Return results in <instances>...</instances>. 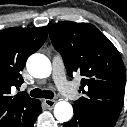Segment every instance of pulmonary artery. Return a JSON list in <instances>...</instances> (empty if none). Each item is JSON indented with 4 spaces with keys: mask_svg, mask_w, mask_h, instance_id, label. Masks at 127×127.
Returning a JSON list of instances; mask_svg holds the SVG:
<instances>
[{
    "mask_svg": "<svg viewBox=\"0 0 127 127\" xmlns=\"http://www.w3.org/2000/svg\"><path fill=\"white\" fill-rule=\"evenodd\" d=\"M52 78L61 94L71 98L73 95L72 86L65 79L63 62L59 55H55L52 61Z\"/></svg>",
    "mask_w": 127,
    "mask_h": 127,
    "instance_id": "pulmonary-artery-1",
    "label": "pulmonary artery"
}]
</instances>
